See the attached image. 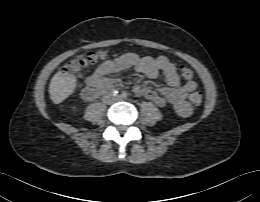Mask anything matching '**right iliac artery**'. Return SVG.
<instances>
[{
    "instance_id": "obj_1",
    "label": "right iliac artery",
    "mask_w": 260,
    "mask_h": 202,
    "mask_svg": "<svg viewBox=\"0 0 260 202\" xmlns=\"http://www.w3.org/2000/svg\"><path fill=\"white\" fill-rule=\"evenodd\" d=\"M111 94H112L113 96H117V95H118V91H117V90H113V91L111 92Z\"/></svg>"
}]
</instances>
